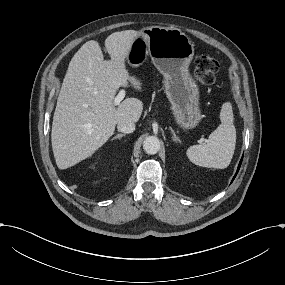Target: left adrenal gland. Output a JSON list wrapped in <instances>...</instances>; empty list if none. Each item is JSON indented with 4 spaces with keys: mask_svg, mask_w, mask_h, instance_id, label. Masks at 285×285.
<instances>
[{
    "mask_svg": "<svg viewBox=\"0 0 285 285\" xmlns=\"http://www.w3.org/2000/svg\"><path fill=\"white\" fill-rule=\"evenodd\" d=\"M169 129L171 130V133L173 135L172 136L173 141L181 143L180 138L178 136H176V134H175L174 130L172 129V127H169Z\"/></svg>",
    "mask_w": 285,
    "mask_h": 285,
    "instance_id": "1",
    "label": "left adrenal gland"
}]
</instances>
